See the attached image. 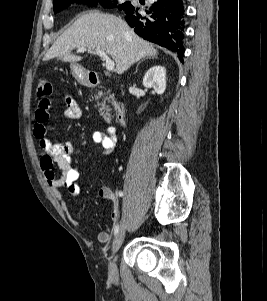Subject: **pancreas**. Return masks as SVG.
Here are the masks:
<instances>
[{"mask_svg": "<svg viewBox=\"0 0 267 301\" xmlns=\"http://www.w3.org/2000/svg\"><path fill=\"white\" fill-rule=\"evenodd\" d=\"M103 95H105V98H104V101L102 102H98V106H101L98 110L99 112L104 116L105 120L107 122H110L111 120V114H110V110L111 108L106 104V102H111L112 105L116 106L117 103H116V100H115V97H114V94L111 93V92H102V91H99L98 92V95L97 97L100 98L102 97Z\"/></svg>", "mask_w": 267, "mask_h": 301, "instance_id": "pancreas-1", "label": "pancreas"}]
</instances>
